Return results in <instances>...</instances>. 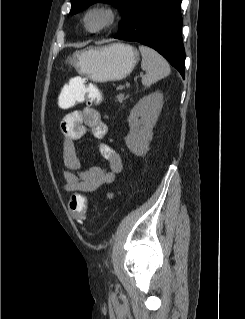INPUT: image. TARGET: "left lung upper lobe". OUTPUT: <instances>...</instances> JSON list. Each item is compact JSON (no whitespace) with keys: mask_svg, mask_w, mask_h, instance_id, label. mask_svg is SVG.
Masks as SVG:
<instances>
[{"mask_svg":"<svg viewBox=\"0 0 245 319\" xmlns=\"http://www.w3.org/2000/svg\"><path fill=\"white\" fill-rule=\"evenodd\" d=\"M138 1L139 0H71L72 7H71L70 14L72 15L76 14L78 11L96 2L112 4L120 10V13L122 16V21L118 29V32H119L123 29L124 25L127 23Z\"/></svg>","mask_w":245,"mask_h":319,"instance_id":"left-lung-upper-lobe-1","label":"left lung upper lobe"}]
</instances>
